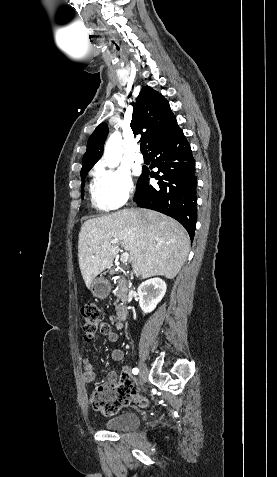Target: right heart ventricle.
<instances>
[{
  "instance_id": "obj_1",
  "label": "right heart ventricle",
  "mask_w": 277,
  "mask_h": 477,
  "mask_svg": "<svg viewBox=\"0 0 277 477\" xmlns=\"http://www.w3.org/2000/svg\"><path fill=\"white\" fill-rule=\"evenodd\" d=\"M90 194H91V202H92V205H93L96 209H99V210H102V211H105V210H108V209H109V208L107 207V205L105 204V202L103 201L101 195H100V191H99V187H98L97 180H94V181L90 184Z\"/></svg>"
}]
</instances>
